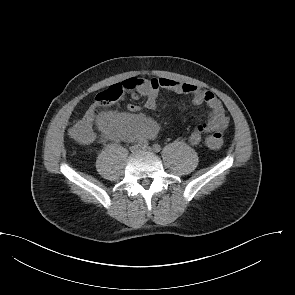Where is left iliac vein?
I'll return each mask as SVG.
<instances>
[{
    "label": "left iliac vein",
    "mask_w": 295,
    "mask_h": 295,
    "mask_svg": "<svg viewBox=\"0 0 295 295\" xmlns=\"http://www.w3.org/2000/svg\"><path fill=\"white\" fill-rule=\"evenodd\" d=\"M141 150H142V151H145V152H153V149H152V147H150V146L142 147Z\"/></svg>",
    "instance_id": "obj_1"
}]
</instances>
